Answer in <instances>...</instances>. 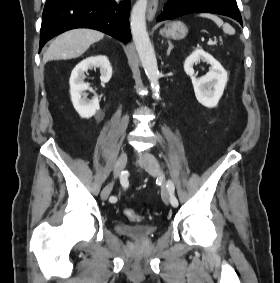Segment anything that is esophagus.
<instances>
[{
  "instance_id": "1",
  "label": "esophagus",
  "mask_w": 280,
  "mask_h": 283,
  "mask_svg": "<svg viewBox=\"0 0 280 283\" xmlns=\"http://www.w3.org/2000/svg\"><path fill=\"white\" fill-rule=\"evenodd\" d=\"M158 7V0H150L148 3V10H147V19L148 21H152L155 17L156 11Z\"/></svg>"
}]
</instances>
